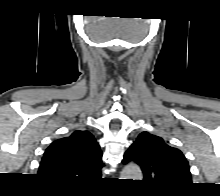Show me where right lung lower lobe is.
<instances>
[{"instance_id": "right-lung-lower-lobe-1", "label": "right lung lower lobe", "mask_w": 220, "mask_h": 196, "mask_svg": "<svg viewBox=\"0 0 220 196\" xmlns=\"http://www.w3.org/2000/svg\"><path fill=\"white\" fill-rule=\"evenodd\" d=\"M53 184V183H52ZM56 186H62V187H67L66 185H60V184H54Z\"/></svg>"}]
</instances>
